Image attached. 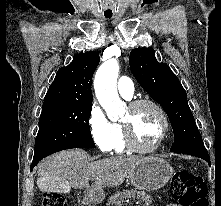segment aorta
Instances as JSON below:
<instances>
[{
	"mask_svg": "<svg viewBox=\"0 0 221 206\" xmlns=\"http://www.w3.org/2000/svg\"><path fill=\"white\" fill-rule=\"evenodd\" d=\"M118 73V61L110 59L99 67L94 79L96 97L112 121H117L125 110V103L120 100L117 92Z\"/></svg>",
	"mask_w": 221,
	"mask_h": 206,
	"instance_id": "762f6f07",
	"label": "aorta"
}]
</instances>
